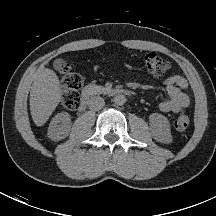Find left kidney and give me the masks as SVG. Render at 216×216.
I'll return each instance as SVG.
<instances>
[{"label": "left kidney", "mask_w": 216, "mask_h": 216, "mask_svg": "<svg viewBox=\"0 0 216 216\" xmlns=\"http://www.w3.org/2000/svg\"><path fill=\"white\" fill-rule=\"evenodd\" d=\"M149 125L151 134L156 141L166 144L172 142L170 123L167 117L153 113L149 116Z\"/></svg>", "instance_id": "5707ae66"}]
</instances>
